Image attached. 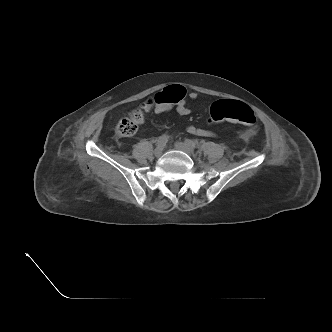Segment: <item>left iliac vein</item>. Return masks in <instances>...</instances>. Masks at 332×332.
Listing matches in <instances>:
<instances>
[{
  "mask_svg": "<svg viewBox=\"0 0 332 332\" xmlns=\"http://www.w3.org/2000/svg\"><path fill=\"white\" fill-rule=\"evenodd\" d=\"M175 148L180 150V151H183L187 154H192L193 150H194L191 146H189L188 144L183 143V142H176L175 143Z\"/></svg>",
  "mask_w": 332,
  "mask_h": 332,
  "instance_id": "4c4485c4",
  "label": "left iliac vein"
}]
</instances>
